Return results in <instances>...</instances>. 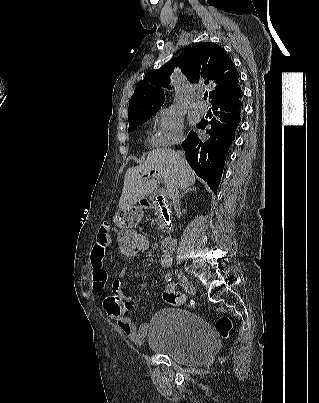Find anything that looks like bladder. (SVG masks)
<instances>
[{
	"label": "bladder",
	"mask_w": 319,
	"mask_h": 403,
	"mask_svg": "<svg viewBox=\"0 0 319 403\" xmlns=\"http://www.w3.org/2000/svg\"><path fill=\"white\" fill-rule=\"evenodd\" d=\"M147 346L180 364L198 366L213 356L218 340L203 318L181 309H161L149 323Z\"/></svg>",
	"instance_id": "31cf9c89"
}]
</instances>
